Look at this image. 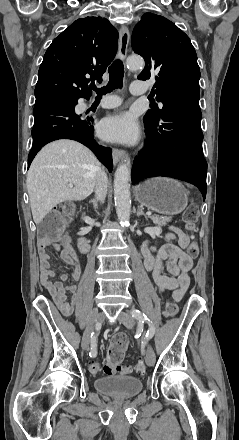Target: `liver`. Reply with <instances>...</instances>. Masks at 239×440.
I'll list each match as a JSON object with an SVG mask.
<instances>
[{"label": "liver", "instance_id": "1", "mask_svg": "<svg viewBox=\"0 0 239 440\" xmlns=\"http://www.w3.org/2000/svg\"><path fill=\"white\" fill-rule=\"evenodd\" d=\"M94 154L73 140L44 146L27 174V190L35 224L61 202L85 200L92 194L100 170ZM73 184L75 188H69Z\"/></svg>", "mask_w": 239, "mask_h": 440}]
</instances>
